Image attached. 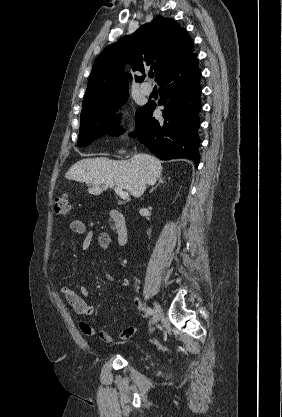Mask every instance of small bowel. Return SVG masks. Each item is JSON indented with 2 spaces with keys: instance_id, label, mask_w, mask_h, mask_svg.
<instances>
[{
  "instance_id": "small-bowel-1",
  "label": "small bowel",
  "mask_w": 282,
  "mask_h": 417,
  "mask_svg": "<svg viewBox=\"0 0 282 417\" xmlns=\"http://www.w3.org/2000/svg\"><path fill=\"white\" fill-rule=\"evenodd\" d=\"M70 230L77 235L87 234L85 240L82 243V249L84 251L88 250L94 241L102 250H107L110 246L111 239L107 233L101 232L94 239L92 233L88 232L87 226L82 220H72L70 223ZM120 284L123 288H128L130 285V281L127 278H124L121 280ZM61 292L64 296L65 301L73 309L76 315L81 317H90L95 313L94 306L88 305L86 302V298L88 296V289L85 286H82L79 292H76L74 289L65 286L62 288ZM79 329L86 336H94L96 334L95 329L85 321L79 322ZM133 332V327H127L124 330H122V332L120 333V337L122 339H126L130 337L133 334ZM100 338L105 343L113 342V338L105 329L100 331Z\"/></svg>"
}]
</instances>
